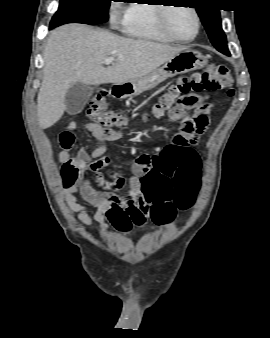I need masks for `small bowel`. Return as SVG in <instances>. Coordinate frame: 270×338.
Returning <instances> with one entry per match:
<instances>
[{"mask_svg":"<svg viewBox=\"0 0 270 338\" xmlns=\"http://www.w3.org/2000/svg\"><path fill=\"white\" fill-rule=\"evenodd\" d=\"M203 100L204 112L207 118H209L213 112L214 104L210 101V96L207 94L203 96ZM178 106L182 108L187 107L183 102H180ZM81 127L96 139L97 146L91 153H88L76 145L74 131L79 126L75 122H70L60 134V160L64 163L69 160H76L82 171L77 182L67 189L65 203L71 212L78 214L79 221L83 226H89L92 218L88 213L87 206L77 201L78 195L82 197L87 205L96 209L93 220L98 224L102 235L107 236L112 210L118 207L116 196L104 189L98 188L93 181L87 178L84 171L92 172L96 182H103L104 177L101 171L109 164V159L105 155V144L108 141H117L121 136L114 130L103 128L95 123H84ZM182 134L187 142L169 150L165 157L161 159L155 160L147 155L137 156L140 164L135 166L136 171L140 172L137 169L150 168L148 171L149 192L155 198L154 204L161 203L173 207L171 218L161 223L173 220L177 210L173 197L177 188H186L191 177L200 170L198 154L191 144V134L185 130ZM145 219L146 217H141L137 224L143 225ZM116 228L122 231L127 229Z\"/></svg>","mask_w":270,"mask_h":338,"instance_id":"obj_1","label":"small bowel"}]
</instances>
